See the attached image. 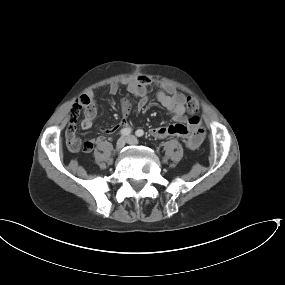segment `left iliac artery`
I'll use <instances>...</instances> for the list:
<instances>
[{
    "mask_svg": "<svg viewBox=\"0 0 285 285\" xmlns=\"http://www.w3.org/2000/svg\"><path fill=\"white\" fill-rule=\"evenodd\" d=\"M136 136L138 137H142L144 135V131L142 129H138L136 132H135Z\"/></svg>",
    "mask_w": 285,
    "mask_h": 285,
    "instance_id": "1",
    "label": "left iliac artery"
}]
</instances>
